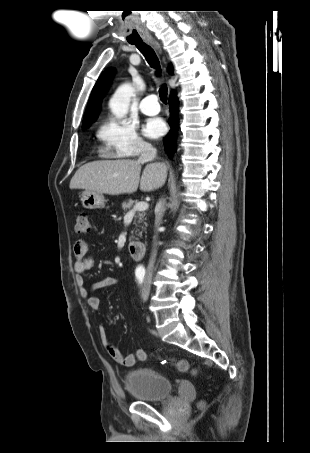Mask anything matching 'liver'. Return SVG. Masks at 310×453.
I'll use <instances>...</instances> for the list:
<instances>
[{"mask_svg":"<svg viewBox=\"0 0 310 453\" xmlns=\"http://www.w3.org/2000/svg\"><path fill=\"white\" fill-rule=\"evenodd\" d=\"M142 162L131 159L99 160L81 166L70 181V189H84L108 195L132 194L139 184L143 192L163 186L167 177L164 164H147L142 172Z\"/></svg>","mask_w":310,"mask_h":453,"instance_id":"1","label":"liver"}]
</instances>
